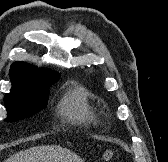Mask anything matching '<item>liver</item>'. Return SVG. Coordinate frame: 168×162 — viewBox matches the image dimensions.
<instances>
[{
	"label": "liver",
	"mask_w": 168,
	"mask_h": 162,
	"mask_svg": "<svg viewBox=\"0 0 168 162\" xmlns=\"http://www.w3.org/2000/svg\"><path fill=\"white\" fill-rule=\"evenodd\" d=\"M5 162H84L77 154L61 146H36L12 155Z\"/></svg>",
	"instance_id": "liver-1"
}]
</instances>
